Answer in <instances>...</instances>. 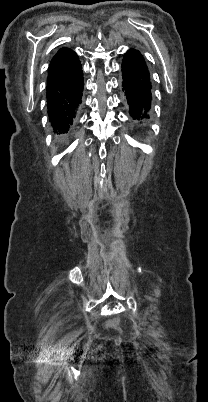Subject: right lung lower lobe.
I'll return each instance as SVG.
<instances>
[{
	"mask_svg": "<svg viewBox=\"0 0 208 402\" xmlns=\"http://www.w3.org/2000/svg\"><path fill=\"white\" fill-rule=\"evenodd\" d=\"M83 71L77 54L60 49L48 68V119L54 133H67L74 124L82 103Z\"/></svg>",
	"mask_w": 208,
	"mask_h": 402,
	"instance_id": "98d812e1",
	"label": "right lung lower lobe"
}]
</instances>
